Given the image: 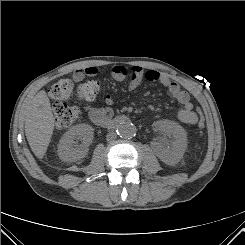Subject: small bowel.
Segmentation results:
<instances>
[{
    "label": "small bowel",
    "mask_w": 245,
    "mask_h": 245,
    "mask_svg": "<svg viewBox=\"0 0 245 245\" xmlns=\"http://www.w3.org/2000/svg\"><path fill=\"white\" fill-rule=\"evenodd\" d=\"M97 72V67L89 66L84 69L76 70L73 73V79L76 82H79L86 76L96 75ZM111 76L118 82H123L129 77V90H135L144 79L163 85L168 90L172 98H174L181 105V109L177 114L178 119L185 124H196L198 122V115L194 111V106L191 102L189 93L183 90L177 82L169 79L166 75L155 70H146L141 66H133L130 70H128L124 66L115 65L111 69ZM113 104V96L109 94L106 95L105 106L92 107L89 109L88 116L90 120L99 125L101 121L111 119L113 116Z\"/></svg>",
    "instance_id": "c3829d8e"
}]
</instances>
